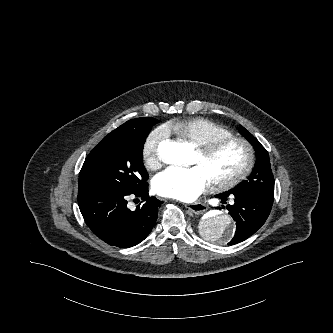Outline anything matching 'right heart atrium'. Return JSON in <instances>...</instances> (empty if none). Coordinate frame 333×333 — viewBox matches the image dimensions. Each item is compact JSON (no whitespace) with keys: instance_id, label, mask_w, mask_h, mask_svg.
<instances>
[{"instance_id":"1","label":"right heart atrium","mask_w":333,"mask_h":333,"mask_svg":"<svg viewBox=\"0 0 333 333\" xmlns=\"http://www.w3.org/2000/svg\"><path fill=\"white\" fill-rule=\"evenodd\" d=\"M165 136L164 130L159 128L152 131L146 138L142 148V157L146 168L154 170L161 165L159 147L165 140Z\"/></svg>"}]
</instances>
